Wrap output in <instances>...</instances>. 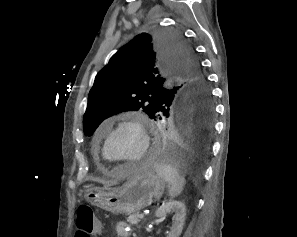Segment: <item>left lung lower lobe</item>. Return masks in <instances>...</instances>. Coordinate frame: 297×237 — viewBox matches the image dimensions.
<instances>
[{"instance_id":"1","label":"left lung lower lobe","mask_w":297,"mask_h":237,"mask_svg":"<svg viewBox=\"0 0 297 237\" xmlns=\"http://www.w3.org/2000/svg\"><path fill=\"white\" fill-rule=\"evenodd\" d=\"M169 108L164 115L169 120L154 147V157L178 166H200L208 156L213 133L212 99L174 103Z\"/></svg>"}]
</instances>
